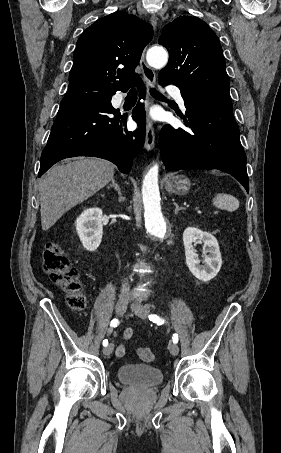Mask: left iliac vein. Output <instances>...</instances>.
Listing matches in <instances>:
<instances>
[{
    "label": "left iliac vein",
    "mask_w": 281,
    "mask_h": 453,
    "mask_svg": "<svg viewBox=\"0 0 281 453\" xmlns=\"http://www.w3.org/2000/svg\"><path fill=\"white\" fill-rule=\"evenodd\" d=\"M141 305L142 304H137V302L136 303L134 302V303L130 304L129 309L131 311H136V312H134L136 316H143L148 319L147 315H149V313H148L149 307H142ZM168 348H169L170 354L173 353L175 356H178L179 347L177 344H170Z\"/></svg>",
    "instance_id": "obj_1"
}]
</instances>
